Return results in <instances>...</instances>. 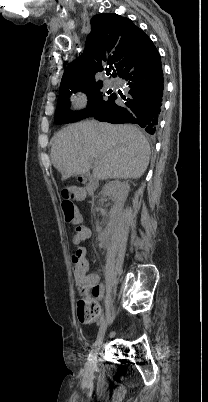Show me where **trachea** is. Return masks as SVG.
<instances>
[{
  "instance_id": "obj_1",
  "label": "trachea",
  "mask_w": 208,
  "mask_h": 402,
  "mask_svg": "<svg viewBox=\"0 0 208 402\" xmlns=\"http://www.w3.org/2000/svg\"><path fill=\"white\" fill-rule=\"evenodd\" d=\"M110 71H111V70H107V72H106V73H107V75H110Z\"/></svg>"
}]
</instances>
